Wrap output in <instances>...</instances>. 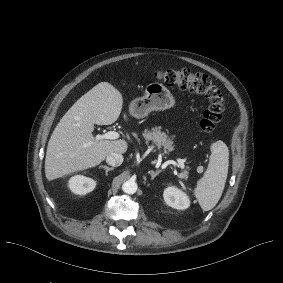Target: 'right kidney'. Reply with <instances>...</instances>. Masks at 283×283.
Listing matches in <instances>:
<instances>
[{
  "mask_svg": "<svg viewBox=\"0 0 283 283\" xmlns=\"http://www.w3.org/2000/svg\"><path fill=\"white\" fill-rule=\"evenodd\" d=\"M68 187L74 194L85 195L94 190L96 181L83 175H76L69 179Z\"/></svg>",
  "mask_w": 283,
  "mask_h": 283,
  "instance_id": "1",
  "label": "right kidney"
}]
</instances>
